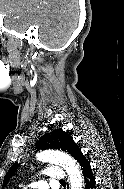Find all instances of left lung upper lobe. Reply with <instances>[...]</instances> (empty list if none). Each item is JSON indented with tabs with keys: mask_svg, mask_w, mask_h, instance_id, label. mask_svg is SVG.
<instances>
[{
	"mask_svg": "<svg viewBox=\"0 0 124 189\" xmlns=\"http://www.w3.org/2000/svg\"><path fill=\"white\" fill-rule=\"evenodd\" d=\"M38 149H58L67 152L70 154L75 160L82 154L81 150L74 142L72 136L63 131L62 129L54 130L50 133L45 134L41 137V139L36 143ZM18 165L14 164L6 173L3 180V187L7 184L9 179L13 176L15 171L17 170Z\"/></svg>",
	"mask_w": 124,
	"mask_h": 189,
	"instance_id": "1",
	"label": "left lung upper lobe"
}]
</instances>
